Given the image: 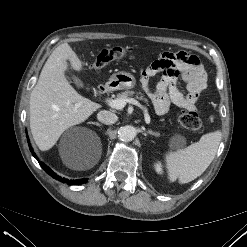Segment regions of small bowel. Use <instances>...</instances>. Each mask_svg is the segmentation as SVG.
<instances>
[{
    "mask_svg": "<svg viewBox=\"0 0 247 247\" xmlns=\"http://www.w3.org/2000/svg\"><path fill=\"white\" fill-rule=\"evenodd\" d=\"M162 73L161 79L153 89L149 87V78ZM186 84L187 93H183L177 83ZM141 83L152 100L158 115L166 114L171 104L182 109L195 110L200 94L207 85L206 72L199 59L186 52H164L151 65L142 71Z\"/></svg>",
    "mask_w": 247,
    "mask_h": 247,
    "instance_id": "1",
    "label": "small bowel"
}]
</instances>
